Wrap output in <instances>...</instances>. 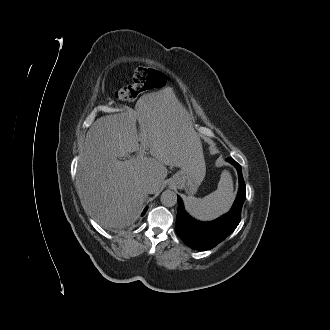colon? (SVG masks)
<instances>
[{
	"mask_svg": "<svg viewBox=\"0 0 330 330\" xmlns=\"http://www.w3.org/2000/svg\"><path fill=\"white\" fill-rule=\"evenodd\" d=\"M164 75L150 66L139 67L130 84L121 86L117 92V98L123 101H130L140 93L159 87L164 83Z\"/></svg>",
	"mask_w": 330,
	"mask_h": 330,
	"instance_id": "colon-1",
	"label": "colon"
}]
</instances>
